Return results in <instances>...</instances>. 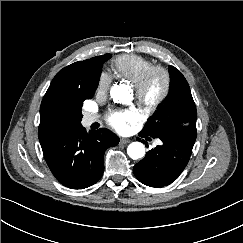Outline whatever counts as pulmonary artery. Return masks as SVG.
Wrapping results in <instances>:
<instances>
[{"instance_id":"pulmonary-artery-1","label":"pulmonary artery","mask_w":243,"mask_h":243,"mask_svg":"<svg viewBox=\"0 0 243 243\" xmlns=\"http://www.w3.org/2000/svg\"><path fill=\"white\" fill-rule=\"evenodd\" d=\"M97 119H98V115L96 114H86L83 118V124L85 126H89L95 121H97Z\"/></svg>"}]
</instances>
